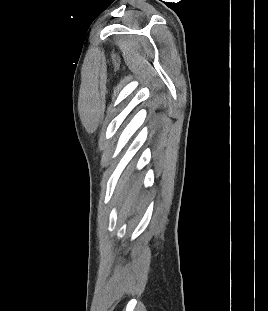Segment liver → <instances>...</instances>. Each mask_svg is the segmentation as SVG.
<instances>
[{
  "instance_id": "6515ba94",
  "label": "liver",
  "mask_w": 268,
  "mask_h": 311,
  "mask_svg": "<svg viewBox=\"0 0 268 311\" xmlns=\"http://www.w3.org/2000/svg\"><path fill=\"white\" fill-rule=\"evenodd\" d=\"M129 179L123 182L121 185V199L123 201L122 211L127 214L131 208L135 207L139 203L140 185L139 180H135L129 185Z\"/></svg>"
}]
</instances>
